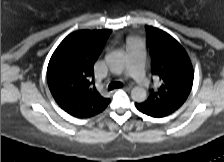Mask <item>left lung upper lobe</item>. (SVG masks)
<instances>
[{"label":"left lung upper lobe","instance_id":"5c2ea615","mask_svg":"<svg viewBox=\"0 0 224 162\" xmlns=\"http://www.w3.org/2000/svg\"><path fill=\"white\" fill-rule=\"evenodd\" d=\"M145 28L151 47L152 73L159 77L160 86L152 89L148 99L138 105L145 111L172 113L191 91L193 67L177 40L158 28Z\"/></svg>","mask_w":224,"mask_h":162}]
</instances>
